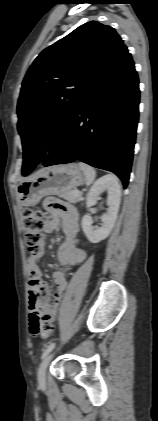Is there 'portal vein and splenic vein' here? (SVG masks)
I'll list each match as a JSON object with an SVG mask.
<instances>
[{
    "mask_svg": "<svg viewBox=\"0 0 158 421\" xmlns=\"http://www.w3.org/2000/svg\"><path fill=\"white\" fill-rule=\"evenodd\" d=\"M74 195L78 197V196H80L81 194H80V192H79L78 190H75V191H74Z\"/></svg>",
    "mask_w": 158,
    "mask_h": 421,
    "instance_id": "obj_1",
    "label": "portal vein and splenic vein"
}]
</instances>
